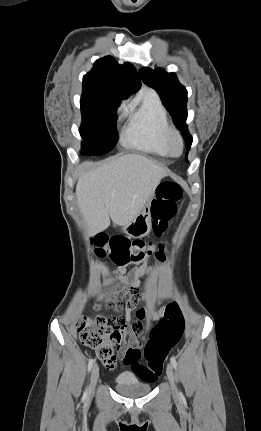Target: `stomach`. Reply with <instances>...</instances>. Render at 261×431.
Masks as SVG:
<instances>
[{
    "instance_id": "1",
    "label": "stomach",
    "mask_w": 261,
    "mask_h": 431,
    "mask_svg": "<svg viewBox=\"0 0 261 431\" xmlns=\"http://www.w3.org/2000/svg\"><path fill=\"white\" fill-rule=\"evenodd\" d=\"M150 202L151 199L130 223L121 226L123 232L132 238H142L149 234L151 230Z\"/></svg>"
}]
</instances>
